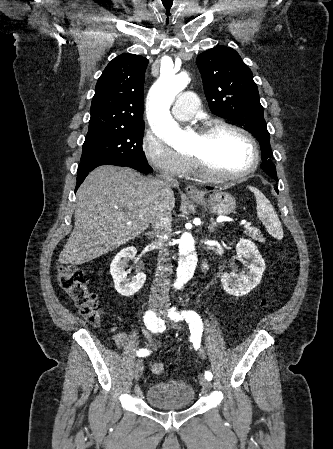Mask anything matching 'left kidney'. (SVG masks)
<instances>
[{
	"instance_id": "left-kidney-1",
	"label": "left kidney",
	"mask_w": 333,
	"mask_h": 449,
	"mask_svg": "<svg viewBox=\"0 0 333 449\" xmlns=\"http://www.w3.org/2000/svg\"><path fill=\"white\" fill-rule=\"evenodd\" d=\"M238 260L247 259L250 264L247 266V274H235L224 272L221 276V283L228 294L233 296H243L255 288L265 271V262L256 245L247 239H240L236 245Z\"/></svg>"
}]
</instances>
